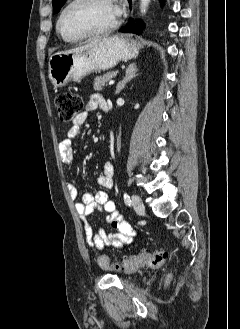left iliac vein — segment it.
I'll return each instance as SVG.
<instances>
[{"mask_svg": "<svg viewBox=\"0 0 240 329\" xmlns=\"http://www.w3.org/2000/svg\"><path fill=\"white\" fill-rule=\"evenodd\" d=\"M132 205L135 209V211L139 214H143L145 211L144 204L141 200V198L137 195H132Z\"/></svg>", "mask_w": 240, "mask_h": 329, "instance_id": "left-iliac-vein-1", "label": "left iliac vein"}]
</instances>
